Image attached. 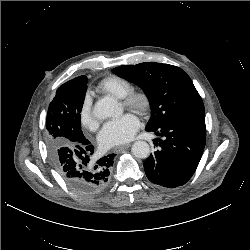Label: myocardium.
<instances>
[{
    "instance_id": "f54148a6",
    "label": "myocardium",
    "mask_w": 250,
    "mask_h": 250,
    "mask_svg": "<svg viewBox=\"0 0 250 250\" xmlns=\"http://www.w3.org/2000/svg\"><path fill=\"white\" fill-rule=\"evenodd\" d=\"M123 105L139 115H146L151 109V98L144 90H132L122 99Z\"/></svg>"
}]
</instances>
